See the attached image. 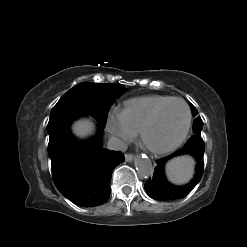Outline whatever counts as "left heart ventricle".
Returning <instances> with one entry per match:
<instances>
[{
	"instance_id": "left-heart-ventricle-1",
	"label": "left heart ventricle",
	"mask_w": 247,
	"mask_h": 247,
	"mask_svg": "<svg viewBox=\"0 0 247 247\" xmlns=\"http://www.w3.org/2000/svg\"><path fill=\"white\" fill-rule=\"evenodd\" d=\"M186 118V109L181 102L170 103L147 131L146 142L153 147H165L174 143L184 131Z\"/></svg>"
}]
</instances>
